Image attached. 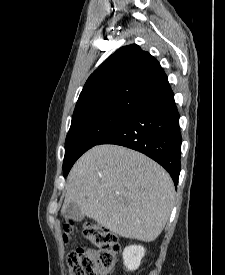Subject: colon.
Segmentation results:
<instances>
[{
  "label": "colon",
  "mask_w": 225,
  "mask_h": 275,
  "mask_svg": "<svg viewBox=\"0 0 225 275\" xmlns=\"http://www.w3.org/2000/svg\"><path fill=\"white\" fill-rule=\"evenodd\" d=\"M64 231V240L68 241L72 226L65 225ZM83 234L92 247H79L68 254L69 274L110 275L120 252V244L116 235L97 223L85 224Z\"/></svg>",
  "instance_id": "1"
}]
</instances>
